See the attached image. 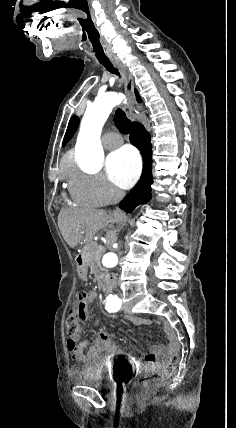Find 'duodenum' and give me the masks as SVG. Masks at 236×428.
Listing matches in <instances>:
<instances>
[{
  "instance_id": "duodenum-1",
  "label": "duodenum",
  "mask_w": 236,
  "mask_h": 428,
  "mask_svg": "<svg viewBox=\"0 0 236 428\" xmlns=\"http://www.w3.org/2000/svg\"><path fill=\"white\" fill-rule=\"evenodd\" d=\"M75 263H76L77 269L80 272H83V270H84V259H83L81 254H78L76 256ZM115 287H116V277L113 274L107 275L105 278L103 289H102L104 296L107 298L110 295H112L114 293Z\"/></svg>"
}]
</instances>
